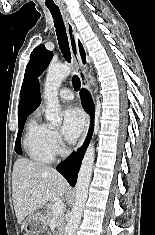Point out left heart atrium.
I'll use <instances>...</instances> for the list:
<instances>
[{
  "instance_id": "39dd6f15",
  "label": "left heart atrium",
  "mask_w": 155,
  "mask_h": 235,
  "mask_svg": "<svg viewBox=\"0 0 155 235\" xmlns=\"http://www.w3.org/2000/svg\"><path fill=\"white\" fill-rule=\"evenodd\" d=\"M85 124L83 113L78 108H68L63 113L62 133L66 140L73 142L81 134Z\"/></svg>"
}]
</instances>
